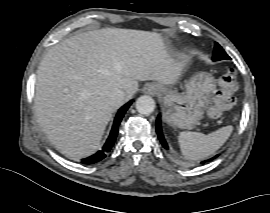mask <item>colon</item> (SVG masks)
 <instances>
[{"instance_id":"obj_1","label":"colon","mask_w":270,"mask_h":213,"mask_svg":"<svg viewBox=\"0 0 270 213\" xmlns=\"http://www.w3.org/2000/svg\"><path fill=\"white\" fill-rule=\"evenodd\" d=\"M238 88L237 72L233 68L225 70L219 79L218 89L211 97L210 106L206 110L207 116L220 118L235 104L234 93Z\"/></svg>"}]
</instances>
